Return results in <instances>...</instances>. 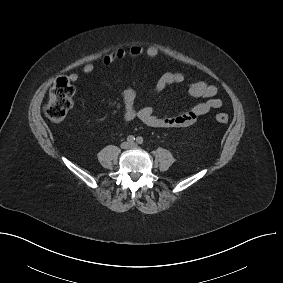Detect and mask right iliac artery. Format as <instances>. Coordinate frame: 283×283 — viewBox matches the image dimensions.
I'll list each match as a JSON object with an SVG mask.
<instances>
[{
	"label": "right iliac artery",
	"instance_id": "right-iliac-artery-1",
	"mask_svg": "<svg viewBox=\"0 0 283 283\" xmlns=\"http://www.w3.org/2000/svg\"><path fill=\"white\" fill-rule=\"evenodd\" d=\"M127 141H128V143H133L135 141V137L130 135V136L127 137Z\"/></svg>",
	"mask_w": 283,
	"mask_h": 283
}]
</instances>
